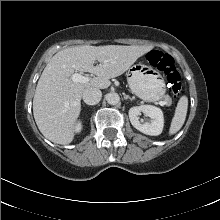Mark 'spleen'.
Here are the masks:
<instances>
[{"instance_id":"obj_1","label":"spleen","mask_w":220,"mask_h":220,"mask_svg":"<svg viewBox=\"0 0 220 220\" xmlns=\"http://www.w3.org/2000/svg\"><path fill=\"white\" fill-rule=\"evenodd\" d=\"M188 110V98L187 96H182L175 108L174 116L171 121L169 135H174L177 133L183 126Z\"/></svg>"}]
</instances>
